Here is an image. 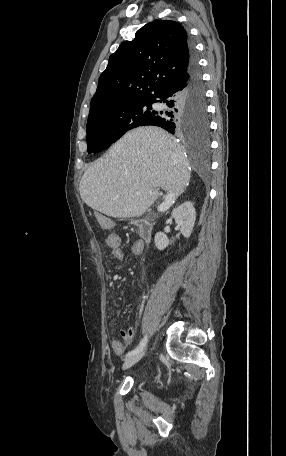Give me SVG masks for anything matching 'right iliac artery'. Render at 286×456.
Returning <instances> with one entry per match:
<instances>
[{
    "instance_id": "right-iliac-artery-1",
    "label": "right iliac artery",
    "mask_w": 286,
    "mask_h": 456,
    "mask_svg": "<svg viewBox=\"0 0 286 456\" xmlns=\"http://www.w3.org/2000/svg\"><path fill=\"white\" fill-rule=\"evenodd\" d=\"M146 342H147V336L145 335L143 337V339L141 340V342L139 343V345L134 350L128 352L126 354V357H131V356L136 355L139 352H141L144 349Z\"/></svg>"
}]
</instances>
